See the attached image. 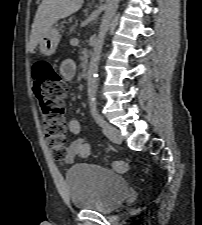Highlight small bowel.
<instances>
[{"mask_svg": "<svg viewBox=\"0 0 202 225\" xmlns=\"http://www.w3.org/2000/svg\"><path fill=\"white\" fill-rule=\"evenodd\" d=\"M77 71L76 62L73 59H66L60 65V73L62 77L71 81L74 79ZM68 132L78 135L81 131V124L77 118H69L67 120ZM90 156V144L84 138L73 140L67 148V154L60 158L66 165L73 164L77 159H87Z\"/></svg>", "mask_w": 202, "mask_h": 225, "instance_id": "c3829d8e", "label": "small bowel"}]
</instances>
